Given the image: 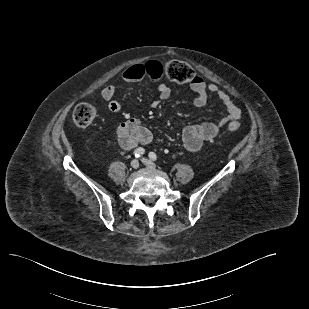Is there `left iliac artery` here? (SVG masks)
<instances>
[{"mask_svg":"<svg viewBox=\"0 0 309 309\" xmlns=\"http://www.w3.org/2000/svg\"><path fill=\"white\" fill-rule=\"evenodd\" d=\"M149 158H150L151 160H153V161H156V160H157V155H156V153L150 152V153H149Z\"/></svg>","mask_w":309,"mask_h":309,"instance_id":"1","label":"left iliac artery"}]
</instances>
